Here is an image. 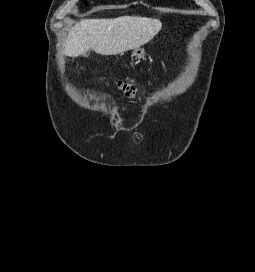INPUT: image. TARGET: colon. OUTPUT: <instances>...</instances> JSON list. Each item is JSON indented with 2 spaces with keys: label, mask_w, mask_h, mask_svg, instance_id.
<instances>
[{
  "label": "colon",
  "mask_w": 255,
  "mask_h": 272,
  "mask_svg": "<svg viewBox=\"0 0 255 272\" xmlns=\"http://www.w3.org/2000/svg\"><path fill=\"white\" fill-rule=\"evenodd\" d=\"M119 87L128 97H134L136 95L137 90L133 81L120 82Z\"/></svg>",
  "instance_id": "colon-1"
}]
</instances>
